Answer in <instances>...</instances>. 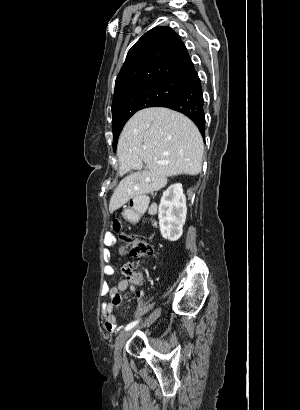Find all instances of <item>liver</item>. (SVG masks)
<instances>
[{"instance_id": "6515ba94", "label": "liver", "mask_w": 300, "mask_h": 410, "mask_svg": "<svg viewBox=\"0 0 300 410\" xmlns=\"http://www.w3.org/2000/svg\"><path fill=\"white\" fill-rule=\"evenodd\" d=\"M203 152L202 136L185 115L163 107L137 112L121 132L117 156L121 175L139 171L121 180L110 199V213L131 198L165 187L167 177L199 174ZM143 163L146 170L141 172Z\"/></svg>"}]
</instances>
